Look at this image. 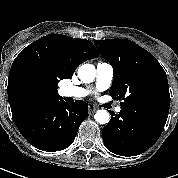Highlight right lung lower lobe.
<instances>
[{
  "mask_svg": "<svg viewBox=\"0 0 178 178\" xmlns=\"http://www.w3.org/2000/svg\"><path fill=\"white\" fill-rule=\"evenodd\" d=\"M86 102L68 104L57 98L29 101L12 111L14 122L23 137L34 147L55 152L74 141L79 126L88 114Z\"/></svg>",
  "mask_w": 178,
  "mask_h": 178,
  "instance_id": "98d812e1",
  "label": "right lung lower lobe"
}]
</instances>
